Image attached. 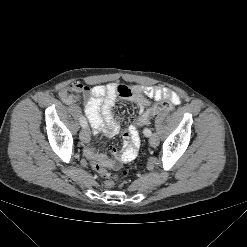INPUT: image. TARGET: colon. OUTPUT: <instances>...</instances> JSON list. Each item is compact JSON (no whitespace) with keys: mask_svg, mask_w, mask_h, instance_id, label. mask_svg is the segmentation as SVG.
Instances as JSON below:
<instances>
[{"mask_svg":"<svg viewBox=\"0 0 247 247\" xmlns=\"http://www.w3.org/2000/svg\"><path fill=\"white\" fill-rule=\"evenodd\" d=\"M118 92L121 96H128L130 94V89L127 86L120 85L118 88ZM173 110V106L171 103L165 101L154 105L153 107L145 109L139 116V118L135 121L136 125L140 127L141 125L146 124L149 120L160 112H170ZM95 170L98 174L105 179V185L107 187H113L114 181L110 174L106 171L105 167L97 164L95 166Z\"/></svg>","mask_w":247,"mask_h":247,"instance_id":"1","label":"colon"}]
</instances>
